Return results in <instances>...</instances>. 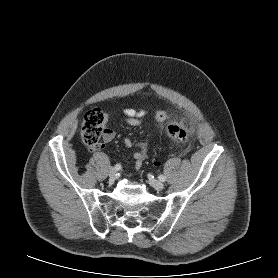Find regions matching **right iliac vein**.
I'll use <instances>...</instances> for the list:
<instances>
[{
  "label": "right iliac vein",
  "mask_w": 278,
  "mask_h": 278,
  "mask_svg": "<svg viewBox=\"0 0 278 278\" xmlns=\"http://www.w3.org/2000/svg\"><path fill=\"white\" fill-rule=\"evenodd\" d=\"M108 173H109L110 179L115 180L116 175H117V170L115 168H110Z\"/></svg>",
  "instance_id": "right-iliac-vein-1"
}]
</instances>
